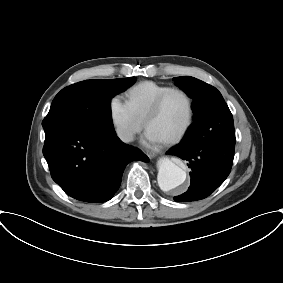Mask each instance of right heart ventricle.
<instances>
[{"mask_svg": "<svg viewBox=\"0 0 283 283\" xmlns=\"http://www.w3.org/2000/svg\"><path fill=\"white\" fill-rule=\"evenodd\" d=\"M170 88L169 85L155 81H142L130 87L125 93L126 103L134 116L143 122L150 107L157 97Z\"/></svg>", "mask_w": 283, "mask_h": 283, "instance_id": "obj_1", "label": "right heart ventricle"}]
</instances>
